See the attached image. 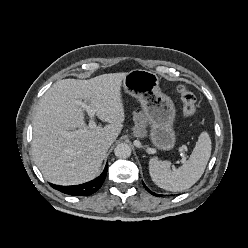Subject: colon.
Instances as JSON below:
<instances>
[{
    "label": "colon",
    "mask_w": 248,
    "mask_h": 248,
    "mask_svg": "<svg viewBox=\"0 0 248 248\" xmlns=\"http://www.w3.org/2000/svg\"><path fill=\"white\" fill-rule=\"evenodd\" d=\"M177 92L183 103V115L185 118H191L196 114V96L184 85L177 87Z\"/></svg>",
    "instance_id": "5ec220e1"
}]
</instances>
